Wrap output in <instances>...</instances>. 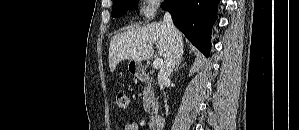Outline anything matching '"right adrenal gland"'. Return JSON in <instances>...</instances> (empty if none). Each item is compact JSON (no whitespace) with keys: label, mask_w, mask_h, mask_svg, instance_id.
Listing matches in <instances>:
<instances>
[{"label":"right adrenal gland","mask_w":299,"mask_h":130,"mask_svg":"<svg viewBox=\"0 0 299 130\" xmlns=\"http://www.w3.org/2000/svg\"><path fill=\"white\" fill-rule=\"evenodd\" d=\"M180 63H181V59H180L179 62L177 63L176 67L174 68V71H175V72L178 71Z\"/></svg>","instance_id":"1"}]
</instances>
